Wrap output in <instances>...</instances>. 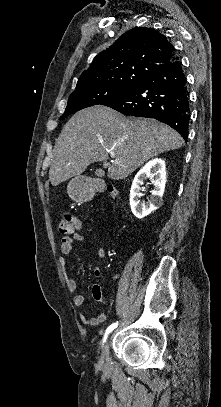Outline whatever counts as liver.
I'll return each mask as SVG.
<instances>
[{
  "label": "liver",
  "mask_w": 221,
  "mask_h": 407,
  "mask_svg": "<svg viewBox=\"0 0 221 407\" xmlns=\"http://www.w3.org/2000/svg\"><path fill=\"white\" fill-rule=\"evenodd\" d=\"M184 144L181 135L163 123L127 118L97 105L74 114L56 140L49 179L52 186L80 176L93 162H103L112 180H122L147 160ZM115 154L113 162L107 160Z\"/></svg>",
  "instance_id": "1"
}]
</instances>
